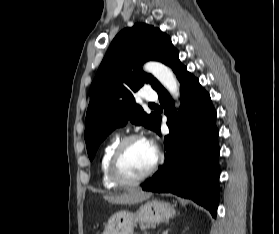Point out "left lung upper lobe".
<instances>
[{
	"instance_id": "left-lung-upper-lobe-1",
	"label": "left lung upper lobe",
	"mask_w": 279,
	"mask_h": 234,
	"mask_svg": "<svg viewBox=\"0 0 279 234\" xmlns=\"http://www.w3.org/2000/svg\"><path fill=\"white\" fill-rule=\"evenodd\" d=\"M176 52L168 35L144 23L125 28L114 38L90 87L84 134L90 160L106 136L128 120L156 130L159 116L148 115L135 104L133 92L144 83L154 89L160 84L142 71L144 62L156 60L167 65Z\"/></svg>"
}]
</instances>
